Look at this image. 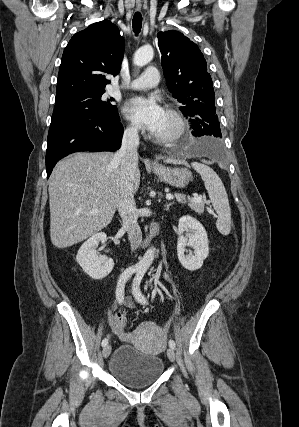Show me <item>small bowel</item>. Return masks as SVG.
Masks as SVG:
<instances>
[{"mask_svg":"<svg viewBox=\"0 0 299 427\" xmlns=\"http://www.w3.org/2000/svg\"><path fill=\"white\" fill-rule=\"evenodd\" d=\"M168 277V275H166ZM123 303L126 307L132 308L134 306L133 301L129 297H125L123 299ZM122 315L121 313H115L114 316H108L107 323L111 331L121 340H127L131 337V332L129 331H122L120 332L117 325H116V318L118 316Z\"/></svg>","mask_w":299,"mask_h":427,"instance_id":"small-bowel-1","label":"small bowel"}]
</instances>
